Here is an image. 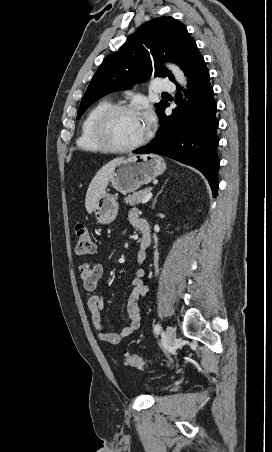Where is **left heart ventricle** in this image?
I'll use <instances>...</instances> for the list:
<instances>
[{"instance_id": "left-heart-ventricle-1", "label": "left heart ventricle", "mask_w": 272, "mask_h": 452, "mask_svg": "<svg viewBox=\"0 0 272 452\" xmlns=\"http://www.w3.org/2000/svg\"><path fill=\"white\" fill-rule=\"evenodd\" d=\"M147 129V121L139 113H120L111 122V136L113 140L124 145L139 140Z\"/></svg>"}]
</instances>
